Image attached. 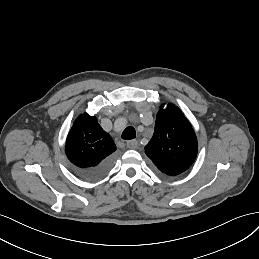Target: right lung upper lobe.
<instances>
[{
  "instance_id": "obj_1",
  "label": "right lung upper lobe",
  "mask_w": 259,
  "mask_h": 259,
  "mask_svg": "<svg viewBox=\"0 0 259 259\" xmlns=\"http://www.w3.org/2000/svg\"><path fill=\"white\" fill-rule=\"evenodd\" d=\"M115 150L111 136L101 128L94 116L87 113L75 120L65 145L68 159L80 168L97 166Z\"/></svg>"
}]
</instances>
